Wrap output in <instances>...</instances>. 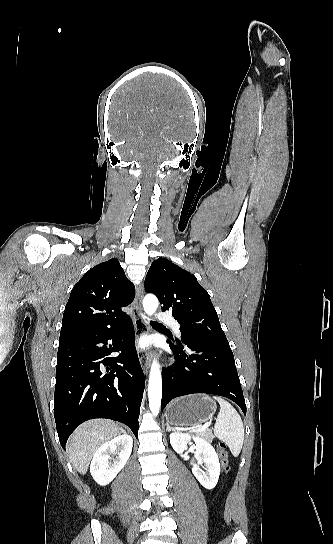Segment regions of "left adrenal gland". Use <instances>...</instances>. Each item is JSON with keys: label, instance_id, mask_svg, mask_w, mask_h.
Segmentation results:
<instances>
[{"label": "left adrenal gland", "instance_id": "left-adrenal-gland-1", "mask_svg": "<svg viewBox=\"0 0 333 544\" xmlns=\"http://www.w3.org/2000/svg\"><path fill=\"white\" fill-rule=\"evenodd\" d=\"M166 426H167V429H166V430H167L168 432H169V431H171V430H173V428H172V427H170V425H169V423H168V422L166 423Z\"/></svg>", "mask_w": 333, "mask_h": 544}]
</instances>
